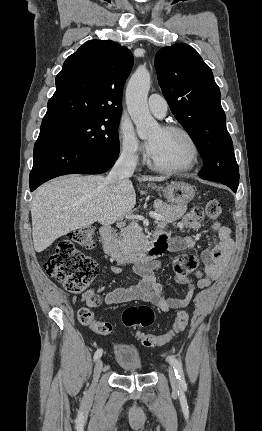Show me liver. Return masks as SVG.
<instances>
[{
  "mask_svg": "<svg viewBox=\"0 0 262 431\" xmlns=\"http://www.w3.org/2000/svg\"><path fill=\"white\" fill-rule=\"evenodd\" d=\"M165 177L142 176L139 181H163ZM102 175L64 176L40 186L31 202L34 249L42 252L57 238L96 221L111 224L136 204L132 182L116 186Z\"/></svg>",
  "mask_w": 262,
  "mask_h": 431,
  "instance_id": "obj_1",
  "label": "liver"
}]
</instances>
